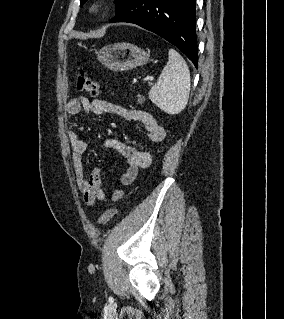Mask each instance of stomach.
I'll return each mask as SVG.
<instances>
[{
    "label": "stomach",
    "mask_w": 284,
    "mask_h": 319,
    "mask_svg": "<svg viewBox=\"0 0 284 319\" xmlns=\"http://www.w3.org/2000/svg\"><path fill=\"white\" fill-rule=\"evenodd\" d=\"M96 55L105 67L113 71H125L144 65L150 58L149 53L127 42L106 45Z\"/></svg>",
    "instance_id": "0dacf381"
}]
</instances>
